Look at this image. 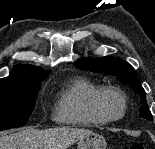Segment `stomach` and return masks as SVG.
Segmentation results:
<instances>
[{
  "label": "stomach",
  "mask_w": 155,
  "mask_h": 149,
  "mask_svg": "<svg viewBox=\"0 0 155 149\" xmlns=\"http://www.w3.org/2000/svg\"><path fill=\"white\" fill-rule=\"evenodd\" d=\"M106 146L105 138L92 132L79 139L77 149H106Z\"/></svg>",
  "instance_id": "0dacf381"
}]
</instances>
